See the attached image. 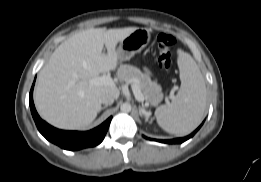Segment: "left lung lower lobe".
<instances>
[{
	"mask_svg": "<svg viewBox=\"0 0 261 182\" xmlns=\"http://www.w3.org/2000/svg\"><path fill=\"white\" fill-rule=\"evenodd\" d=\"M201 125L190 135L183 137V138H176V139H172V140H158L159 142L162 143H167V144H179V143H183L184 141L188 140L189 138H191L199 129H200Z\"/></svg>",
	"mask_w": 261,
	"mask_h": 182,
	"instance_id": "1",
	"label": "left lung lower lobe"
}]
</instances>
